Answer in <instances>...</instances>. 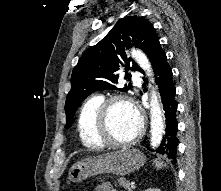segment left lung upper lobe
Listing matches in <instances>:
<instances>
[{"instance_id":"5c2ea615","label":"left lung upper lobe","mask_w":221,"mask_h":191,"mask_svg":"<svg viewBox=\"0 0 221 191\" xmlns=\"http://www.w3.org/2000/svg\"><path fill=\"white\" fill-rule=\"evenodd\" d=\"M156 38L155 29L147 19L137 16L124 17L98 44L83 53L73 69L71 90L66 98L68 128L77 108L91 93L99 90H128L127 86L117 88L119 70L125 67V79L130 80L127 69L132 71H141V69L126 55L125 48L134 46L148 54Z\"/></svg>"}]
</instances>
